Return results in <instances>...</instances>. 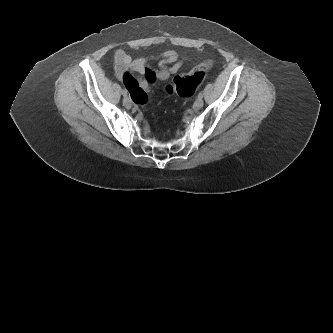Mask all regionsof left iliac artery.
<instances>
[{
	"label": "left iliac artery",
	"instance_id": "1",
	"mask_svg": "<svg viewBox=\"0 0 333 333\" xmlns=\"http://www.w3.org/2000/svg\"><path fill=\"white\" fill-rule=\"evenodd\" d=\"M198 97L203 98V92L202 91L198 94Z\"/></svg>",
	"mask_w": 333,
	"mask_h": 333
}]
</instances>
